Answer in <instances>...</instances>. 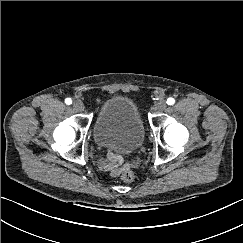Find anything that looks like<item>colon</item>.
<instances>
[{
	"mask_svg": "<svg viewBox=\"0 0 243 243\" xmlns=\"http://www.w3.org/2000/svg\"><path fill=\"white\" fill-rule=\"evenodd\" d=\"M134 178H135L134 173L129 169H124L120 174V179L123 182H127V183L132 182Z\"/></svg>",
	"mask_w": 243,
	"mask_h": 243,
	"instance_id": "5ec220e1",
	"label": "colon"
}]
</instances>
